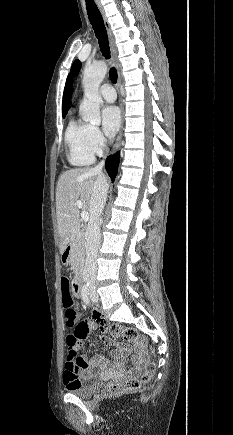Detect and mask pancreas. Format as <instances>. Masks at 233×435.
<instances>
[{
	"instance_id": "pancreas-1",
	"label": "pancreas",
	"mask_w": 233,
	"mask_h": 435,
	"mask_svg": "<svg viewBox=\"0 0 233 435\" xmlns=\"http://www.w3.org/2000/svg\"><path fill=\"white\" fill-rule=\"evenodd\" d=\"M85 258V243L84 234L81 233L74 241L70 252L69 263L75 273H78L84 265Z\"/></svg>"
}]
</instances>
